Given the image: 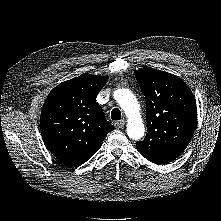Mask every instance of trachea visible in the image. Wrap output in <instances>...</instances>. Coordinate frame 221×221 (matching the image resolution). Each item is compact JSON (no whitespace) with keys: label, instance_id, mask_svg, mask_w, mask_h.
Segmentation results:
<instances>
[{"label":"trachea","instance_id":"trachea-1","mask_svg":"<svg viewBox=\"0 0 221 221\" xmlns=\"http://www.w3.org/2000/svg\"><path fill=\"white\" fill-rule=\"evenodd\" d=\"M111 119L120 120L121 119V111L118 108H114L111 111Z\"/></svg>","mask_w":221,"mask_h":221}]
</instances>
